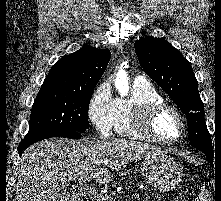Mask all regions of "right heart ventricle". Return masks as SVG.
Wrapping results in <instances>:
<instances>
[{"mask_svg":"<svg viewBox=\"0 0 221 201\" xmlns=\"http://www.w3.org/2000/svg\"><path fill=\"white\" fill-rule=\"evenodd\" d=\"M158 101H163V98L150 83L134 82L129 98L116 99L115 131L123 136L142 138L131 126L132 111L143 104Z\"/></svg>","mask_w":221,"mask_h":201,"instance_id":"obj_1","label":"right heart ventricle"}]
</instances>
